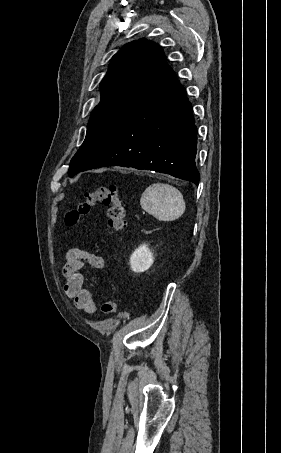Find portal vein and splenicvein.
Instances as JSON below:
<instances>
[{
  "instance_id": "18ae733b",
  "label": "portal vein and splenic vein",
  "mask_w": 281,
  "mask_h": 453,
  "mask_svg": "<svg viewBox=\"0 0 281 453\" xmlns=\"http://www.w3.org/2000/svg\"><path fill=\"white\" fill-rule=\"evenodd\" d=\"M141 212H142L141 214L144 215L147 211L146 210H142Z\"/></svg>"
}]
</instances>
